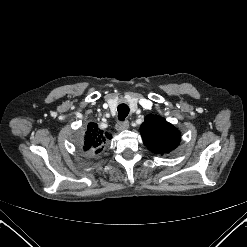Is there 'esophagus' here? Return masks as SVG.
<instances>
[{
    "label": "esophagus",
    "instance_id": "obj_1",
    "mask_svg": "<svg viewBox=\"0 0 247 247\" xmlns=\"http://www.w3.org/2000/svg\"><path fill=\"white\" fill-rule=\"evenodd\" d=\"M129 128V122L123 121L116 124V130L117 131H123Z\"/></svg>",
    "mask_w": 247,
    "mask_h": 247
}]
</instances>
